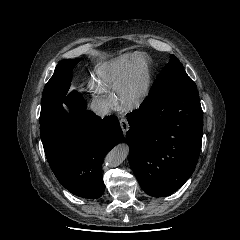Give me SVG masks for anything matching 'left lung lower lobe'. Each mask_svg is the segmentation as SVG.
<instances>
[{"label": "left lung lower lobe", "mask_w": 240, "mask_h": 240, "mask_svg": "<svg viewBox=\"0 0 240 240\" xmlns=\"http://www.w3.org/2000/svg\"><path fill=\"white\" fill-rule=\"evenodd\" d=\"M131 168L150 196L178 190L195 170L203 136L197 89L169 88L127 114Z\"/></svg>", "instance_id": "1"}]
</instances>
